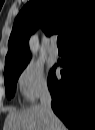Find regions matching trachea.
Returning <instances> with one entry per match:
<instances>
[{
  "label": "trachea",
  "mask_w": 95,
  "mask_h": 130,
  "mask_svg": "<svg viewBox=\"0 0 95 130\" xmlns=\"http://www.w3.org/2000/svg\"><path fill=\"white\" fill-rule=\"evenodd\" d=\"M57 46H58V47H62L61 37H58V38H57Z\"/></svg>",
  "instance_id": "obj_1"
}]
</instances>
